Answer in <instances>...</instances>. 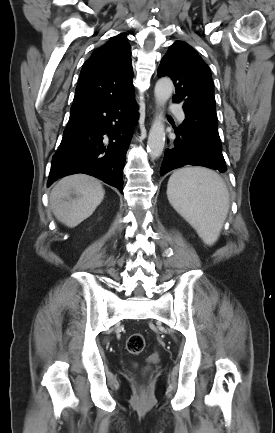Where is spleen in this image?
Returning a JSON list of instances; mask_svg holds the SVG:
<instances>
[{
  "label": "spleen",
  "instance_id": "3e777b00",
  "mask_svg": "<svg viewBox=\"0 0 275 433\" xmlns=\"http://www.w3.org/2000/svg\"><path fill=\"white\" fill-rule=\"evenodd\" d=\"M167 197L205 244L218 239L229 210V192L216 172L201 167L175 171L168 181Z\"/></svg>",
  "mask_w": 275,
  "mask_h": 433
}]
</instances>
